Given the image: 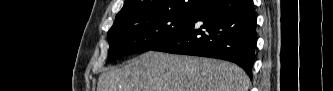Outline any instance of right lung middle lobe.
I'll return each instance as SVG.
<instances>
[{
	"label": "right lung middle lobe",
	"instance_id": "dd1d6c3e",
	"mask_svg": "<svg viewBox=\"0 0 333 91\" xmlns=\"http://www.w3.org/2000/svg\"><path fill=\"white\" fill-rule=\"evenodd\" d=\"M211 0L203 1L204 6ZM196 13H159L113 24L108 31L110 61L152 50L186 26Z\"/></svg>",
	"mask_w": 333,
	"mask_h": 91
}]
</instances>
